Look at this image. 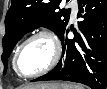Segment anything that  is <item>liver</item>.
Instances as JSON below:
<instances>
[{
  "mask_svg": "<svg viewBox=\"0 0 107 89\" xmlns=\"http://www.w3.org/2000/svg\"><path fill=\"white\" fill-rule=\"evenodd\" d=\"M45 85H54V87H59L60 84H36V85H31L28 87L29 88H42L45 86Z\"/></svg>",
  "mask_w": 107,
  "mask_h": 89,
  "instance_id": "1",
  "label": "liver"
}]
</instances>
